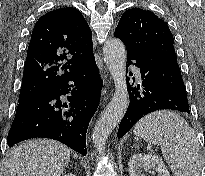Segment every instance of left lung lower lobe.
I'll return each instance as SVG.
<instances>
[{"label":"left lung lower lobe","mask_w":205,"mask_h":176,"mask_svg":"<svg viewBox=\"0 0 205 176\" xmlns=\"http://www.w3.org/2000/svg\"><path fill=\"white\" fill-rule=\"evenodd\" d=\"M133 62L140 68L142 81L137 87L128 84L130 103L119 125L118 139L151 112L170 109L190 113L177 61L153 60L127 49V63L130 65Z\"/></svg>","instance_id":"0a47b994"}]
</instances>
